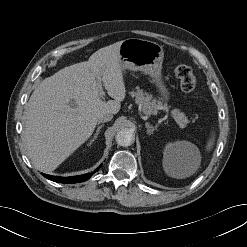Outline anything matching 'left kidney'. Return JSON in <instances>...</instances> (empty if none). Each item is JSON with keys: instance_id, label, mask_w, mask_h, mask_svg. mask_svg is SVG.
Returning a JSON list of instances; mask_svg holds the SVG:
<instances>
[{"instance_id": "5707ae66", "label": "left kidney", "mask_w": 247, "mask_h": 247, "mask_svg": "<svg viewBox=\"0 0 247 247\" xmlns=\"http://www.w3.org/2000/svg\"><path fill=\"white\" fill-rule=\"evenodd\" d=\"M194 152L196 147L188 141L169 143L164 148L163 163L164 165L176 164L178 159L188 158Z\"/></svg>"}]
</instances>
